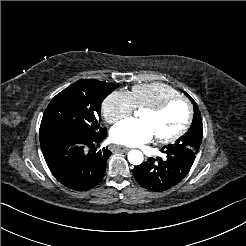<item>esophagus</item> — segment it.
Wrapping results in <instances>:
<instances>
[{
	"instance_id": "esophagus-1",
	"label": "esophagus",
	"mask_w": 246,
	"mask_h": 246,
	"mask_svg": "<svg viewBox=\"0 0 246 246\" xmlns=\"http://www.w3.org/2000/svg\"><path fill=\"white\" fill-rule=\"evenodd\" d=\"M130 149L124 146H112V151L127 153Z\"/></svg>"
}]
</instances>
